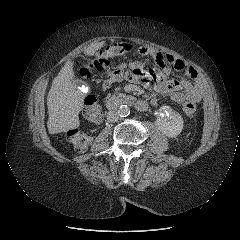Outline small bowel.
<instances>
[{
    "instance_id": "obj_1",
    "label": "small bowel",
    "mask_w": 240,
    "mask_h": 240,
    "mask_svg": "<svg viewBox=\"0 0 240 240\" xmlns=\"http://www.w3.org/2000/svg\"><path fill=\"white\" fill-rule=\"evenodd\" d=\"M138 54L141 57L152 59L157 68H146L147 61L140 60H130L118 64L108 73L102 84L103 90H108L114 82L125 79L132 83L144 84L158 93L170 94L171 99L176 103H183L186 100L194 103L201 101V85L197 71L188 63L151 47L139 48ZM170 65L177 70H183L185 77L180 80L168 79ZM127 68L130 70H126ZM157 101V97L153 96L150 103L156 105Z\"/></svg>"
}]
</instances>
